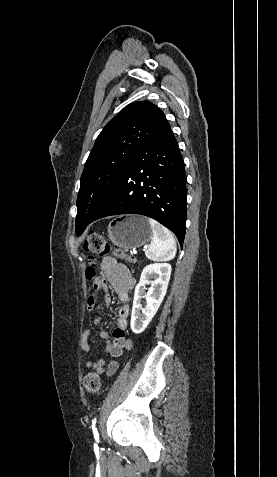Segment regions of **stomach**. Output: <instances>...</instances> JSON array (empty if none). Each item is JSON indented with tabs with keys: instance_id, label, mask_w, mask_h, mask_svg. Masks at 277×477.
<instances>
[{
	"instance_id": "obj_1",
	"label": "stomach",
	"mask_w": 277,
	"mask_h": 477,
	"mask_svg": "<svg viewBox=\"0 0 277 477\" xmlns=\"http://www.w3.org/2000/svg\"><path fill=\"white\" fill-rule=\"evenodd\" d=\"M107 231L112 244L126 251L145 245L152 237L148 219L141 215L115 218Z\"/></svg>"
}]
</instances>
